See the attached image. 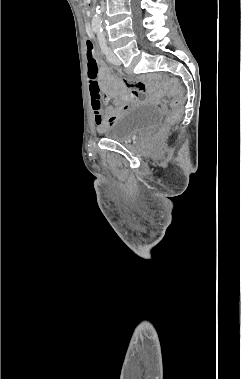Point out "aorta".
Returning <instances> with one entry per match:
<instances>
[{"label": "aorta", "mask_w": 241, "mask_h": 379, "mask_svg": "<svg viewBox=\"0 0 241 379\" xmlns=\"http://www.w3.org/2000/svg\"><path fill=\"white\" fill-rule=\"evenodd\" d=\"M99 6L96 7V12L92 18V27L98 31H101V18Z\"/></svg>", "instance_id": "762f6f07"}]
</instances>
